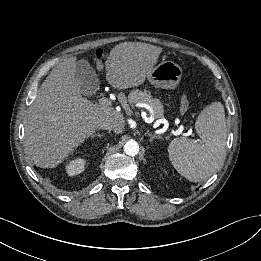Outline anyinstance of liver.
Returning a JSON list of instances; mask_svg holds the SVG:
<instances>
[{"label":"liver","mask_w":261,"mask_h":261,"mask_svg":"<svg viewBox=\"0 0 261 261\" xmlns=\"http://www.w3.org/2000/svg\"><path fill=\"white\" fill-rule=\"evenodd\" d=\"M162 51L147 43L118 44L105 62L107 82L119 90L142 84ZM76 68V57L58 64L40 86L28 111L25 148L41 168L61 164L103 122L111 123L116 134L124 130L122 113L82 97Z\"/></svg>","instance_id":"obj_1"}]
</instances>
